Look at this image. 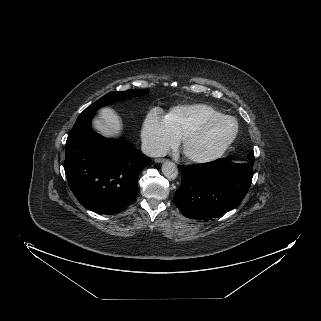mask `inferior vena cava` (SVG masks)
Returning <instances> with one entry per match:
<instances>
[{"label":"inferior vena cava","instance_id":"inferior-vena-cava-1","mask_svg":"<svg viewBox=\"0 0 321 321\" xmlns=\"http://www.w3.org/2000/svg\"><path fill=\"white\" fill-rule=\"evenodd\" d=\"M141 150L148 157H161L166 154L158 144L148 140L142 142Z\"/></svg>","mask_w":321,"mask_h":321}]
</instances>
